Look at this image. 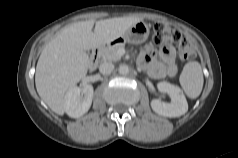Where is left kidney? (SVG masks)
I'll return each mask as SVG.
<instances>
[{
    "instance_id": "left-kidney-1",
    "label": "left kidney",
    "mask_w": 238,
    "mask_h": 158,
    "mask_svg": "<svg viewBox=\"0 0 238 158\" xmlns=\"http://www.w3.org/2000/svg\"><path fill=\"white\" fill-rule=\"evenodd\" d=\"M157 88L160 92L167 93L171 102H163L159 99L151 101L153 111L165 117H179L188 111V103L181 89L166 81L159 82Z\"/></svg>"
}]
</instances>
